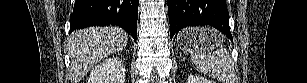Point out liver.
<instances>
[{"mask_svg":"<svg viewBox=\"0 0 307 83\" xmlns=\"http://www.w3.org/2000/svg\"><path fill=\"white\" fill-rule=\"evenodd\" d=\"M127 42V33L117 27H91L74 32L68 45L71 83H79L100 60L122 50Z\"/></svg>","mask_w":307,"mask_h":83,"instance_id":"1","label":"liver"}]
</instances>
